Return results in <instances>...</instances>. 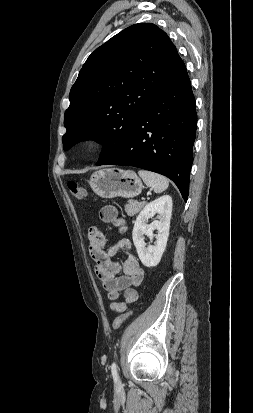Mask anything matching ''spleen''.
Segmentation results:
<instances>
[{"label": "spleen", "mask_w": 253, "mask_h": 413, "mask_svg": "<svg viewBox=\"0 0 253 413\" xmlns=\"http://www.w3.org/2000/svg\"><path fill=\"white\" fill-rule=\"evenodd\" d=\"M138 174L143 179L144 183L148 187H151L156 193H162L169 186V180L160 174L147 170H139Z\"/></svg>", "instance_id": "spleen-1"}]
</instances>
